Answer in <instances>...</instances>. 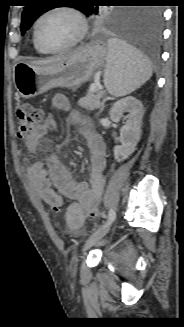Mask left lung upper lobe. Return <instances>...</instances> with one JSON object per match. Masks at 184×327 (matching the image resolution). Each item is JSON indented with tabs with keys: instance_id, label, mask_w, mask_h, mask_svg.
I'll return each mask as SVG.
<instances>
[{
	"instance_id": "5c2ea615",
	"label": "left lung upper lobe",
	"mask_w": 184,
	"mask_h": 327,
	"mask_svg": "<svg viewBox=\"0 0 184 327\" xmlns=\"http://www.w3.org/2000/svg\"><path fill=\"white\" fill-rule=\"evenodd\" d=\"M80 5L76 6L78 10L87 17L95 18L97 24L107 28H125L135 21L139 10L136 9H112L107 12H100L98 6H93L88 1H79ZM51 0H30L25 6L22 13L21 34L31 27L33 22L43 13L50 10L53 6Z\"/></svg>"
}]
</instances>
